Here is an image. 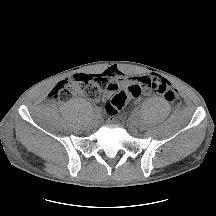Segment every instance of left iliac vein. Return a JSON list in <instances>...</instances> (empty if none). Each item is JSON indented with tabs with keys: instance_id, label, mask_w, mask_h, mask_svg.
<instances>
[{
	"instance_id": "4c4485c4",
	"label": "left iliac vein",
	"mask_w": 216,
	"mask_h": 216,
	"mask_svg": "<svg viewBox=\"0 0 216 216\" xmlns=\"http://www.w3.org/2000/svg\"><path fill=\"white\" fill-rule=\"evenodd\" d=\"M139 125V120L135 114L127 120V127L130 129V131H136Z\"/></svg>"
}]
</instances>
